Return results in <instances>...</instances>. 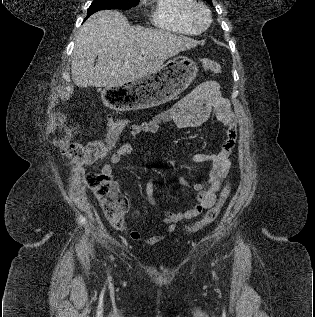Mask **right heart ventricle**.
Here are the masks:
<instances>
[{"label":"right heart ventricle","instance_id":"obj_1","mask_svg":"<svg viewBox=\"0 0 315 317\" xmlns=\"http://www.w3.org/2000/svg\"><path fill=\"white\" fill-rule=\"evenodd\" d=\"M193 0H153L151 21L163 30L174 33L196 35L199 31L193 27L187 17Z\"/></svg>","mask_w":315,"mask_h":317}]
</instances>
